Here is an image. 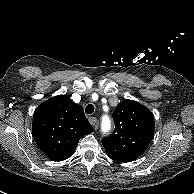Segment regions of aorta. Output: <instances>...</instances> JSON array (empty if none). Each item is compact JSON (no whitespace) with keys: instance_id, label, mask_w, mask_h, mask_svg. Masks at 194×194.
<instances>
[{"instance_id":"aorta-1","label":"aorta","mask_w":194,"mask_h":194,"mask_svg":"<svg viewBox=\"0 0 194 194\" xmlns=\"http://www.w3.org/2000/svg\"><path fill=\"white\" fill-rule=\"evenodd\" d=\"M111 129V120L108 116H104L101 123V130L107 133Z\"/></svg>"}]
</instances>
